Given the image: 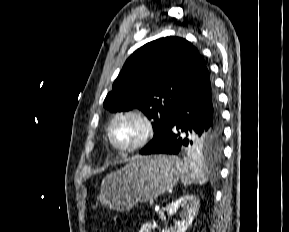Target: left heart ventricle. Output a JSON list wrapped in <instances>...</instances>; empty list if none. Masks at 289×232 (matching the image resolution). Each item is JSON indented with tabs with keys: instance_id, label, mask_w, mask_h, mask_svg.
<instances>
[{
	"instance_id": "obj_1",
	"label": "left heart ventricle",
	"mask_w": 289,
	"mask_h": 232,
	"mask_svg": "<svg viewBox=\"0 0 289 232\" xmlns=\"http://www.w3.org/2000/svg\"><path fill=\"white\" fill-rule=\"evenodd\" d=\"M142 125L134 118H121L113 126V137L121 145L136 142L142 135Z\"/></svg>"
}]
</instances>
